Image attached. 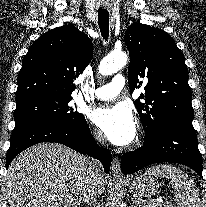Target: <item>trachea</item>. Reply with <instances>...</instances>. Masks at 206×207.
<instances>
[{
    "instance_id": "obj_1",
    "label": "trachea",
    "mask_w": 206,
    "mask_h": 207,
    "mask_svg": "<svg viewBox=\"0 0 206 207\" xmlns=\"http://www.w3.org/2000/svg\"><path fill=\"white\" fill-rule=\"evenodd\" d=\"M98 25L102 37L107 40L109 37V13L107 11H98Z\"/></svg>"
}]
</instances>
